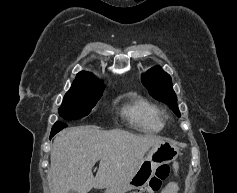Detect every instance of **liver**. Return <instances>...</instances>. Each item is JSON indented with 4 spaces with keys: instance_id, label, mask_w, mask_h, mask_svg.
<instances>
[{
    "instance_id": "liver-1",
    "label": "liver",
    "mask_w": 237,
    "mask_h": 193,
    "mask_svg": "<svg viewBox=\"0 0 237 193\" xmlns=\"http://www.w3.org/2000/svg\"><path fill=\"white\" fill-rule=\"evenodd\" d=\"M164 139L125 130L76 126L57 136L51 149L48 178L51 193H88L129 180L146 152ZM100 161L96 176L92 168Z\"/></svg>"
}]
</instances>
